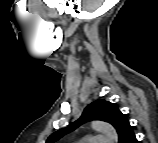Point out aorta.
<instances>
[{
	"label": "aorta",
	"instance_id": "obj_1",
	"mask_svg": "<svg viewBox=\"0 0 158 143\" xmlns=\"http://www.w3.org/2000/svg\"><path fill=\"white\" fill-rule=\"evenodd\" d=\"M92 127L97 131L101 132L102 134H104L110 142L114 143L118 141L117 132L109 123L96 121L92 124Z\"/></svg>",
	"mask_w": 158,
	"mask_h": 143
}]
</instances>
